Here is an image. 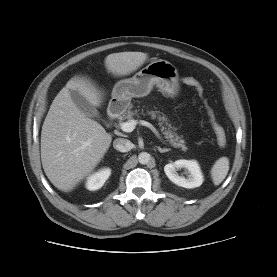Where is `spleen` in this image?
Returning <instances> with one entry per match:
<instances>
[{
    "label": "spleen",
    "instance_id": "3e777b00",
    "mask_svg": "<svg viewBox=\"0 0 277 277\" xmlns=\"http://www.w3.org/2000/svg\"><path fill=\"white\" fill-rule=\"evenodd\" d=\"M229 171V159L227 157L219 158L211 169V177L214 185H219L227 176Z\"/></svg>",
    "mask_w": 277,
    "mask_h": 277
}]
</instances>
